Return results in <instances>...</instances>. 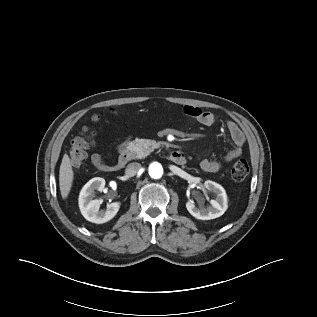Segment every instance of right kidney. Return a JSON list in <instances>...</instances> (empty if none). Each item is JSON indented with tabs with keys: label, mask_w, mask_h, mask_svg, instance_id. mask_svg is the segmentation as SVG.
Wrapping results in <instances>:
<instances>
[{
	"label": "right kidney",
	"mask_w": 317,
	"mask_h": 317,
	"mask_svg": "<svg viewBox=\"0 0 317 317\" xmlns=\"http://www.w3.org/2000/svg\"><path fill=\"white\" fill-rule=\"evenodd\" d=\"M105 186V180L95 177L87 182L79 195V208L84 218L90 222L102 224L111 220L120 208L119 202H113L107 205L106 211L99 210L101 201L93 199L95 190L102 191Z\"/></svg>",
	"instance_id": "ca27d5eb"
}]
</instances>
